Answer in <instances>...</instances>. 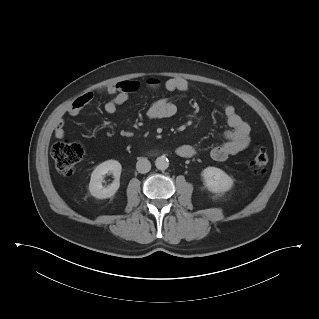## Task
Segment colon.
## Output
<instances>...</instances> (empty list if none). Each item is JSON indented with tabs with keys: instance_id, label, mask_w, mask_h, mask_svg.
Masks as SVG:
<instances>
[{
	"instance_id": "colon-1",
	"label": "colon",
	"mask_w": 319,
	"mask_h": 319,
	"mask_svg": "<svg viewBox=\"0 0 319 319\" xmlns=\"http://www.w3.org/2000/svg\"><path fill=\"white\" fill-rule=\"evenodd\" d=\"M148 83L156 85L158 82L151 80ZM137 87V83H130L127 86V90L134 92ZM51 155L57 171L63 176H71L75 171L76 165L82 159L83 149L77 143L60 141L53 145ZM268 162L269 157L266 151L260 147L255 148L251 160V167L254 172L257 174H264L267 170Z\"/></svg>"
}]
</instances>
